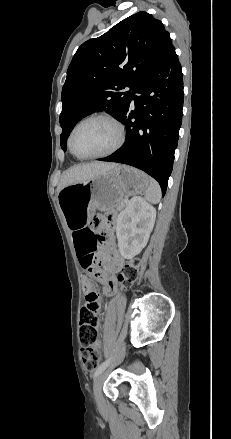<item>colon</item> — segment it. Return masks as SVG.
I'll list each match as a JSON object with an SVG mask.
<instances>
[{
    "label": "colon",
    "instance_id": "colon-1",
    "mask_svg": "<svg viewBox=\"0 0 231 439\" xmlns=\"http://www.w3.org/2000/svg\"><path fill=\"white\" fill-rule=\"evenodd\" d=\"M100 222L104 228H108L112 224L111 217H102ZM98 240L106 239L105 234H98ZM82 267L90 271H94L95 253L91 252L82 260ZM139 263L137 260L125 264L118 276L123 283L134 281L138 276ZM100 319L92 307L83 306L80 314V344L82 360L87 370L96 368L99 355L93 345L97 342L99 336Z\"/></svg>",
    "mask_w": 231,
    "mask_h": 439
}]
</instances>
